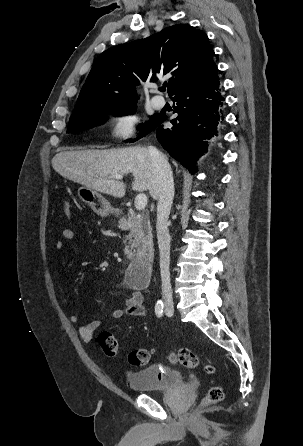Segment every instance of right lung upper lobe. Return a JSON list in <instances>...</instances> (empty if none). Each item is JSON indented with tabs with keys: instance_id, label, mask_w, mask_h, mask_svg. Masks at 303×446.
I'll list each match as a JSON object with an SVG mask.
<instances>
[{
	"instance_id": "right-lung-upper-lobe-1",
	"label": "right lung upper lobe",
	"mask_w": 303,
	"mask_h": 446,
	"mask_svg": "<svg viewBox=\"0 0 303 446\" xmlns=\"http://www.w3.org/2000/svg\"><path fill=\"white\" fill-rule=\"evenodd\" d=\"M214 51L205 33L187 24L173 25L145 39L104 51L79 94L72 116L111 105L136 102L134 84L149 75L171 74L168 94L216 77Z\"/></svg>"
}]
</instances>
